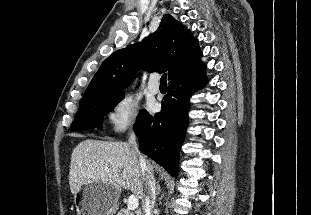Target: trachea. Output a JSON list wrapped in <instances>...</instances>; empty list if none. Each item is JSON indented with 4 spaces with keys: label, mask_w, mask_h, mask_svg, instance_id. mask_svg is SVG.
Here are the masks:
<instances>
[{
    "label": "trachea",
    "mask_w": 311,
    "mask_h": 215,
    "mask_svg": "<svg viewBox=\"0 0 311 215\" xmlns=\"http://www.w3.org/2000/svg\"><path fill=\"white\" fill-rule=\"evenodd\" d=\"M161 85H167V74H163L160 79Z\"/></svg>",
    "instance_id": "3493384b"
}]
</instances>
